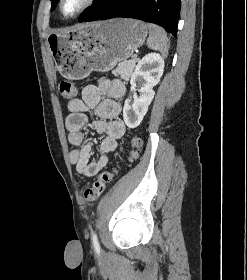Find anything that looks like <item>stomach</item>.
I'll return each mask as SVG.
<instances>
[{"label": "stomach", "instance_id": "0dacf381", "mask_svg": "<svg viewBox=\"0 0 247 280\" xmlns=\"http://www.w3.org/2000/svg\"><path fill=\"white\" fill-rule=\"evenodd\" d=\"M147 33L142 21L116 18L51 34L47 44L60 74L79 80L92 71H110L127 60L144 43Z\"/></svg>", "mask_w": 247, "mask_h": 280}]
</instances>
